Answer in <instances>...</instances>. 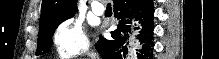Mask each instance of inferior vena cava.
Segmentation results:
<instances>
[{"instance_id":"602c4592","label":"inferior vena cava","mask_w":219,"mask_h":59,"mask_svg":"<svg viewBox=\"0 0 219 59\" xmlns=\"http://www.w3.org/2000/svg\"><path fill=\"white\" fill-rule=\"evenodd\" d=\"M89 56L91 57V59H98V54L96 53H90Z\"/></svg>"}]
</instances>
